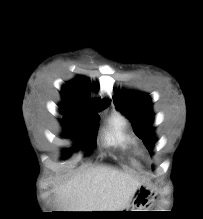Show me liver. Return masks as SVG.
I'll list each match as a JSON object with an SVG mask.
<instances>
[{
	"mask_svg": "<svg viewBox=\"0 0 203 219\" xmlns=\"http://www.w3.org/2000/svg\"><path fill=\"white\" fill-rule=\"evenodd\" d=\"M141 182L113 166L99 165L56 188L63 210L71 212L123 211Z\"/></svg>",
	"mask_w": 203,
	"mask_h": 219,
	"instance_id": "6515ba94",
	"label": "liver"
}]
</instances>
